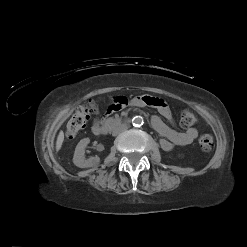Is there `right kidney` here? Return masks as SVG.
<instances>
[{
	"mask_svg": "<svg viewBox=\"0 0 247 247\" xmlns=\"http://www.w3.org/2000/svg\"><path fill=\"white\" fill-rule=\"evenodd\" d=\"M89 142H90L89 138H84L80 140V142L77 144L75 148L73 163L79 168L93 167L98 165L100 162V158L98 156L90 157L89 159L84 158L85 148L89 144Z\"/></svg>",
	"mask_w": 247,
	"mask_h": 247,
	"instance_id": "1",
	"label": "right kidney"
}]
</instances>
